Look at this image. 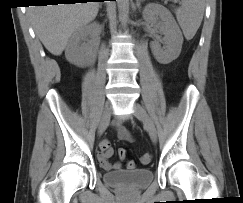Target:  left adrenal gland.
<instances>
[{
    "mask_svg": "<svg viewBox=\"0 0 243 203\" xmlns=\"http://www.w3.org/2000/svg\"><path fill=\"white\" fill-rule=\"evenodd\" d=\"M141 1L143 0H136V7L140 10L141 9Z\"/></svg>",
    "mask_w": 243,
    "mask_h": 203,
    "instance_id": "1",
    "label": "left adrenal gland"
}]
</instances>
